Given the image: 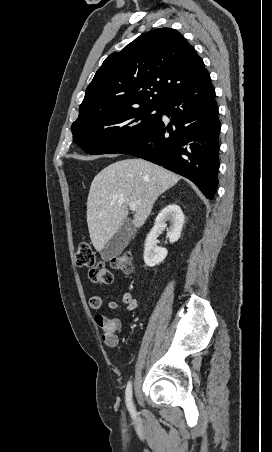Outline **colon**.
<instances>
[{
  "label": "colon",
  "mask_w": 272,
  "mask_h": 452,
  "mask_svg": "<svg viewBox=\"0 0 272 452\" xmlns=\"http://www.w3.org/2000/svg\"><path fill=\"white\" fill-rule=\"evenodd\" d=\"M75 264L78 267L89 269L91 281L100 285H109L113 282V270H119L125 274L132 272V257L129 253H123L112 257L111 268L104 263L97 262L95 252L87 242H81L75 253Z\"/></svg>",
  "instance_id": "5ec220e1"
}]
</instances>
